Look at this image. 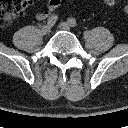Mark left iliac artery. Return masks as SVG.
Segmentation results:
<instances>
[{
  "mask_svg": "<svg viewBox=\"0 0 128 128\" xmlns=\"http://www.w3.org/2000/svg\"><path fill=\"white\" fill-rule=\"evenodd\" d=\"M68 23L71 27H76L77 22L74 18H68Z\"/></svg>",
  "mask_w": 128,
  "mask_h": 128,
  "instance_id": "left-iliac-artery-1",
  "label": "left iliac artery"
}]
</instances>
